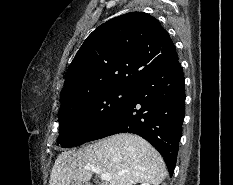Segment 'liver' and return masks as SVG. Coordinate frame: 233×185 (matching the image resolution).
I'll list each match as a JSON object with an SVG mask.
<instances>
[{
	"label": "liver",
	"instance_id": "liver-1",
	"mask_svg": "<svg viewBox=\"0 0 233 185\" xmlns=\"http://www.w3.org/2000/svg\"><path fill=\"white\" fill-rule=\"evenodd\" d=\"M94 165L110 174L107 185H159L167 176V169L159 152L140 136L120 133L87 145L78 151H64L55 160L49 185H70L88 182Z\"/></svg>",
	"mask_w": 233,
	"mask_h": 185
}]
</instances>
